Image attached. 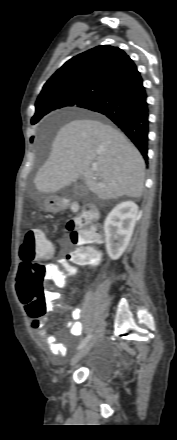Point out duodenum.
Returning <instances> with one entry per match:
<instances>
[{
  "mask_svg": "<svg viewBox=\"0 0 177 440\" xmlns=\"http://www.w3.org/2000/svg\"><path fill=\"white\" fill-rule=\"evenodd\" d=\"M65 206H66V202L65 201H61L57 205L58 209L64 208Z\"/></svg>",
  "mask_w": 177,
  "mask_h": 440,
  "instance_id": "410a0bca",
  "label": "duodenum"
}]
</instances>
